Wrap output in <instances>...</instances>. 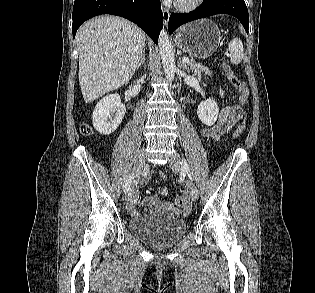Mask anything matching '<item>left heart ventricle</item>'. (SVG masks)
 <instances>
[{"label":"left heart ventricle","mask_w":315,"mask_h":293,"mask_svg":"<svg viewBox=\"0 0 315 293\" xmlns=\"http://www.w3.org/2000/svg\"><path fill=\"white\" fill-rule=\"evenodd\" d=\"M179 1H181V2H189L191 0H179Z\"/></svg>","instance_id":"left-heart-ventricle-1"}]
</instances>
